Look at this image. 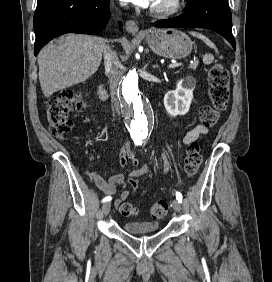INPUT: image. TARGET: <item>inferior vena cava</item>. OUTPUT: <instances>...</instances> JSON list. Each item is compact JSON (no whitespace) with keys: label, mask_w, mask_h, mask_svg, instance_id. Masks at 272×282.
Returning a JSON list of instances; mask_svg holds the SVG:
<instances>
[{"label":"inferior vena cava","mask_w":272,"mask_h":282,"mask_svg":"<svg viewBox=\"0 0 272 282\" xmlns=\"http://www.w3.org/2000/svg\"><path fill=\"white\" fill-rule=\"evenodd\" d=\"M104 64L105 70L109 78V88L111 94V102L118 113L120 114L119 101L117 97L118 84L122 78V65L114 51L109 46L104 48Z\"/></svg>","instance_id":"obj_1"}]
</instances>
